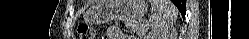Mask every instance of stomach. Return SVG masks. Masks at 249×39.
I'll return each instance as SVG.
<instances>
[{
	"label": "stomach",
	"instance_id": "obj_1",
	"mask_svg": "<svg viewBox=\"0 0 249 39\" xmlns=\"http://www.w3.org/2000/svg\"><path fill=\"white\" fill-rule=\"evenodd\" d=\"M147 12L144 0H96L84 19L95 25L112 20L137 21Z\"/></svg>",
	"mask_w": 249,
	"mask_h": 39
}]
</instances>
